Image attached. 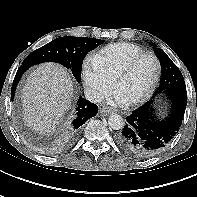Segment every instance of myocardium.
<instances>
[{
	"label": "myocardium",
	"instance_id": "1",
	"mask_svg": "<svg viewBox=\"0 0 197 197\" xmlns=\"http://www.w3.org/2000/svg\"><path fill=\"white\" fill-rule=\"evenodd\" d=\"M146 58H151L155 61L156 63V67H157V71H156V76L154 78V81L152 83V85L150 86V88L147 90V92H145L143 95L130 100V101H126L125 104L126 106H136L139 105L141 103H144L146 100H148L155 92V90L157 89V86L159 84L160 81V77H161V62L158 59V57L154 54L151 53H144L141 54L135 58H133L129 63H127L115 76L114 78V87L116 88L118 82L123 79L124 77L128 76L133 70L134 68L137 66V64L139 62H141L142 60L146 59Z\"/></svg>",
	"mask_w": 197,
	"mask_h": 197
}]
</instances>
